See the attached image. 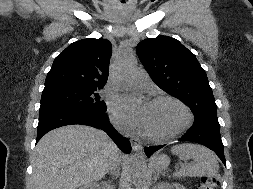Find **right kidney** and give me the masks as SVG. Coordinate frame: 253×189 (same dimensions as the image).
Wrapping results in <instances>:
<instances>
[{
  "label": "right kidney",
  "mask_w": 253,
  "mask_h": 189,
  "mask_svg": "<svg viewBox=\"0 0 253 189\" xmlns=\"http://www.w3.org/2000/svg\"><path fill=\"white\" fill-rule=\"evenodd\" d=\"M79 189H101V188H100L99 184H97V183H90V184H87Z\"/></svg>",
  "instance_id": "ca27d5eb"
}]
</instances>
